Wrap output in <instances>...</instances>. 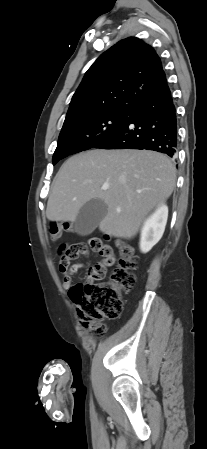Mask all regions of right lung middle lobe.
Instances as JSON below:
<instances>
[{
	"label": "right lung middle lobe",
	"mask_w": 207,
	"mask_h": 449,
	"mask_svg": "<svg viewBox=\"0 0 207 449\" xmlns=\"http://www.w3.org/2000/svg\"><path fill=\"white\" fill-rule=\"evenodd\" d=\"M134 109H104L75 116L64 121L58 145L53 155V165L59 160L93 148L120 129Z\"/></svg>",
	"instance_id": "1"
}]
</instances>
